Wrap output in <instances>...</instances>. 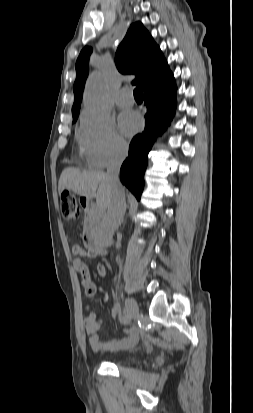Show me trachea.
Returning <instances> with one entry per match:
<instances>
[{
	"label": "trachea",
	"instance_id": "1",
	"mask_svg": "<svg viewBox=\"0 0 253 413\" xmlns=\"http://www.w3.org/2000/svg\"><path fill=\"white\" fill-rule=\"evenodd\" d=\"M134 97L136 99H142L143 98V90L141 86H137L136 89L134 90Z\"/></svg>",
	"mask_w": 253,
	"mask_h": 413
}]
</instances>
